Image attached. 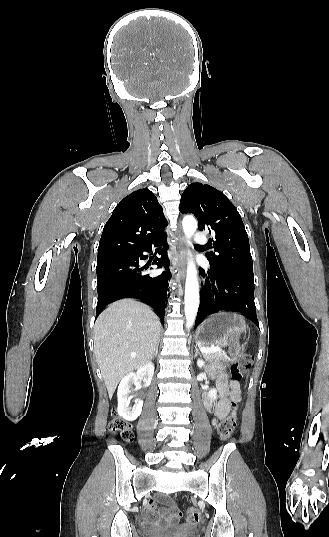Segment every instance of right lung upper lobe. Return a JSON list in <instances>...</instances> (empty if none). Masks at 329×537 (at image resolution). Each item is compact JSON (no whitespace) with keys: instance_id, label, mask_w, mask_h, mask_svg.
Listing matches in <instances>:
<instances>
[{"instance_id":"right-lung-upper-lobe-1","label":"right lung upper lobe","mask_w":329,"mask_h":537,"mask_svg":"<svg viewBox=\"0 0 329 537\" xmlns=\"http://www.w3.org/2000/svg\"><path fill=\"white\" fill-rule=\"evenodd\" d=\"M167 220L155 195L139 189L126 196L115 207L104 226L97 260L124 257L166 237Z\"/></svg>"}]
</instances>
